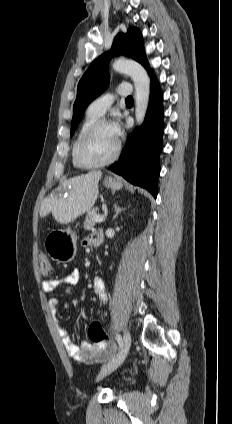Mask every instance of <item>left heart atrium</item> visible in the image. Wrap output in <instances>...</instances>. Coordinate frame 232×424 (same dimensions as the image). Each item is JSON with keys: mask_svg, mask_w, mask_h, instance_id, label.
Listing matches in <instances>:
<instances>
[{"mask_svg": "<svg viewBox=\"0 0 232 424\" xmlns=\"http://www.w3.org/2000/svg\"><path fill=\"white\" fill-rule=\"evenodd\" d=\"M111 127L115 136L118 138L122 133L120 123L118 121H114L111 123Z\"/></svg>", "mask_w": 232, "mask_h": 424, "instance_id": "1", "label": "left heart atrium"}]
</instances>
